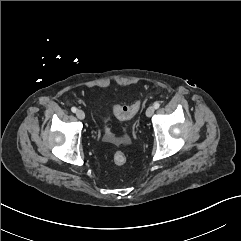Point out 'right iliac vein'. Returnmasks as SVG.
<instances>
[{"mask_svg":"<svg viewBox=\"0 0 241 241\" xmlns=\"http://www.w3.org/2000/svg\"><path fill=\"white\" fill-rule=\"evenodd\" d=\"M76 116L78 119L83 120L85 118V113L79 109L76 111Z\"/></svg>","mask_w":241,"mask_h":241,"instance_id":"63e3f726","label":"right iliac vein"}]
</instances>
